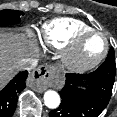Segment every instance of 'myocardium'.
I'll list each match as a JSON object with an SVG mask.
<instances>
[{"label":"myocardium","mask_w":117,"mask_h":117,"mask_svg":"<svg viewBox=\"0 0 117 117\" xmlns=\"http://www.w3.org/2000/svg\"><path fill=\"white\" fill-rule=\"evenodd\" d=\"M90 36H100L103 39L104 47L102 52L91 60H83L80 58V47L85 39ZM109 50V42L106 35L98 30L90 29L77 33L69 43L64 47L62 59L64 65L74 72H85L98 66L107 56Z\"/></svg>","instance_id":"f54148a6"}]
</instances>
